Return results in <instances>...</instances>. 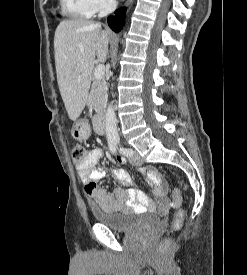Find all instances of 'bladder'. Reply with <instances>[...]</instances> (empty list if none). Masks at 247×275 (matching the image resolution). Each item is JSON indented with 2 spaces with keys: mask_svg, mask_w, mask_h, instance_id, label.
Instances as JSON below:
<instances>
[{
  "mask_svg": "<svg viewBox=\"0 0 247 275\" xmlns=\"http://www.w3.org/2000/svg\"><path fill=\"white\" fill-rule=\"evenodd\" d=\"M91 212L97 224L117 232H130L139 226H153L162 220L160 215L145 213L142 219H138L134 213H111L95 206Z\"/></svg>",
  "mask_w": 247,
  "mask_h": 275,
  "instance_id": "bladder-1",
  "label": "bladder"
}]
</instances>
